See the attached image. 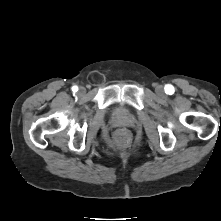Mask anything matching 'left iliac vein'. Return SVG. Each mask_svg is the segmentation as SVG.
Segmentation results:
<instances>
[{
    "label": "left iliac vein",
    "mask_w": 221,
    "mask_h": 221,
    "mask_svg": "<svg viewBox=\"0 0 221 221\" xmlns=\"http://www.w3.org/2000/svg\"><path fill=\"white\" fill-rule=\"evenodd\" d=\"M157 95L163 97L165 95L164 88L162 86H157L155 89Z\"/></svg>",
    "instance_id": "obj_1"
}]
</instances>
